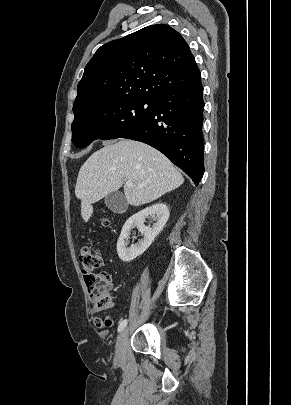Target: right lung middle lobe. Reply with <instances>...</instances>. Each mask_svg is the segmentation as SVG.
Returning <instances> with one entry per match:
<instances>
[{
	"label": "right lung middle lobe",
	"instance_id": "obj_1",
	"mask_svg": "<svg viewBox=\"0 0 291 405\" xmlns=\"http://www.w3.org/2000/svg\"><path fill=\"white\" fill-rule=\"evenodd\" d=\"M154 108V99L123 97L94 103L74 112L72 142L84 148L97 139L121 138L140 126Z\"/></svg>",
	"mask_w": 291,
	"mask_h": 405
}]
</instances>
